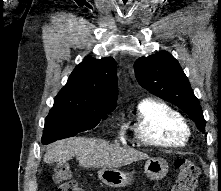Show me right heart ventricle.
I'll return each instance as SVG.
<instances>
[{"label": "right heart ventricle", "mask_w": 221, "mask_h": 191, "mask_svg": "<svg viewBox=\"0 0 221 191\" xmlns=\"http://www.w3.org/2000/svg\"><path fill=\"white\" fill-rule=\"evenodd\" d=\"M134 135L144 145L180 147L189 140V128L182 114L168 103L145 99L137 105Z\"/></svg>", "instance_id": "e07e8e85"}]
</instances>
